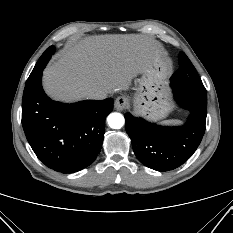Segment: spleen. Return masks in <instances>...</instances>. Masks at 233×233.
Here are the masks:
<instances>
[{
    "label": "spleen",
    "mask_w": 233,
    "mask_h": 233,
    "mask_svg": "<svg viewBox=\"0 0 233 233\" xmlns=\"http://www.w3.org/2000/svg\"><path fill=\"white\" fill-rule=\"evenodd\" d=\"M168 122H173V123H179V121H177V120H173V121H168Z\"/></svg>",
    "instance_id": "1"
}]
</instances>
